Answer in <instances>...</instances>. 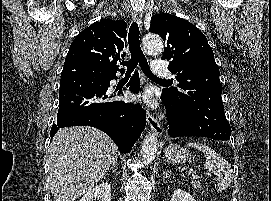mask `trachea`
Segmentation results:
<instances>
[{
  "mask_svg": "<svg viewBox=\"0 0 271 201\" xmlns=\"http://www.w3.org/2000/svg\"><path fill=\"white\" fill-rule=\"evenodd\" d=\"M128 44L131 53V59L129 61L121 62V65L127 67V73L128 74L132 73L139 64L141 70L147 77L161 80L151 72L147 59L145 58V55L141 50L140 32L138 24L136 22H133L129 28Z\"/></svg>",
  "mask_w": 271,
  "mask_h": 201,
  "instance_id": "3493384b",
  "label": "trachea"
}]
</instances>
